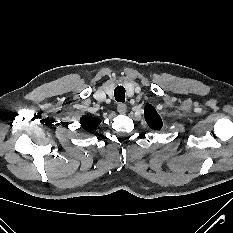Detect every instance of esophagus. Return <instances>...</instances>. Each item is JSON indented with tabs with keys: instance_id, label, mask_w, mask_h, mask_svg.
I'll return each instance as SVG.
<instances>
[{
	"instance_id": "obj_1",
	"label": "esophagus",
	"mask_w": 233,
	"mask_h": 233,
	"mask_svg": "<svg viewBox=\"0 0 233 233\" xmlns=\"http://www.w3.org/2000/svg\"><path fill=\"white\" fill-rule=\"evenodd\" d=\"M117 111L120 113V114H125L127 112V106L124 104V103H120L118 104L117 106Z\"/></svg>"
}]
</instances>
